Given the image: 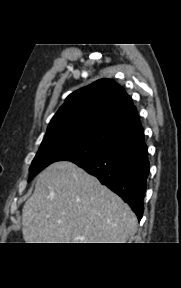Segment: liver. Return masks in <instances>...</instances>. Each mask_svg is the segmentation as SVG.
I'll use <instances>...</instances> for the list:
<instances>
[{
  "label": "liver",
  "instance_id": "1",
  "mask_svg": "<svg viewBox=\"0 0 181 288\" xmlns=\"http://www.w3.org/2000/svg\"><path fill=\"white\" fill-rule=\"evenodd\" d=\"M136 230L128 204L68 161L38 175L22 211L26 243H126Z\"/></svg>",
  "mask_w": 181,
  "mask_h": 288
}]
</instances>
